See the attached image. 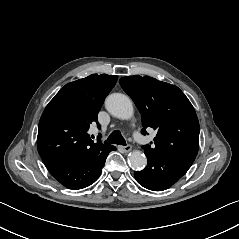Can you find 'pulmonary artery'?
Returning <instances> with one entry per match:
<instances>
[{
    "mask_svg": "<svg viewBox=\"0 0 239 239\" xmlns=\"http://www.w3.org/2000/svg\"><path fill=\"white\" fill-rule=\"evenodd\" d=\"M136 138L139 139L140 137L137 135Z\"/></svg>",
    "mask_w": 239,
    "mask_h": 239,
    "instance_id": "obj_1",
    "label": "pulmonary artery"
}]
</instances>
